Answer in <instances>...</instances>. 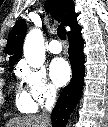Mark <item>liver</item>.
Instances as JSON below:
<instances>
[{
	"mask_svg": "<svg viewBox=\"0 0 108 127\" xmlns=\"http://www.w3.org/2000/svg\"><path fill=\"white\" fill-rule=\"evenodd\" d=\"M5 127H51L42 116H24L10 119Z\"/></svg>",
	"mask_w": 108,
	"mask_h": 127,
	"instance_id": "obj_1",
	"label": "liver"
}]
</instances>
